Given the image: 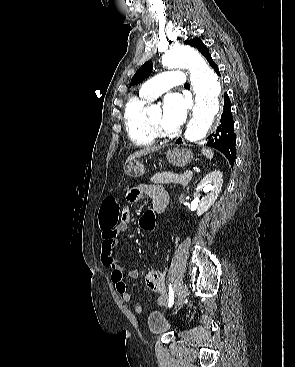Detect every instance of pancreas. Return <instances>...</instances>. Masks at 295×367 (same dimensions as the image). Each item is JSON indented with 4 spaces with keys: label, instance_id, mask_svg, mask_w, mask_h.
Instances as JSON below:
<instances>
[{
    "label": "pancreas",
    "instance_id": "cf45deb5",
    "mask_svg": "<svg viewBox=\"0 0 295 367\" xmlns=\"http://www.w3.org/2000/svg\"><path fill=\"white\" fill-rule=\"evenodd\" d=\"M192 179V176L178 175L175 173H167V174H156L150 180L154 184H182L186 186Z\"/></svg>",
    "mask_w": 295,
    "mask_h": 367
}]
</instances>
